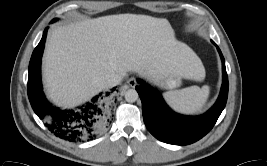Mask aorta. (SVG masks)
<instances>
[{"label":"aorta","instance_id":"aorta-1","mask_svg":"<svg viewBox=\"0 0 267 166\" xmlns=\"http://www.w3.org/2000/svg\"><path fill=\"white\" fill-rule=\"evenodd\" d=\"M139 95H138V92L135 90V89H129L125 92V100L127 102H135L137 101Z\"/></svg>","mask_w":267,"mask_h":166}]
</instances>
